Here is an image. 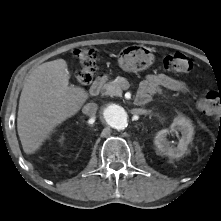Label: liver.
Wrapping results in <instances>:
<instances>
[{"instance_id": "6515ba94", "label": "liver", "mask_w": 221, "mask_h": 221, "mask_svg": "<svg viewBox=\"0 0 221 221\" xmlns=\"http://www.w3.org/2000/svg\"><path fill=\"white\" fill-rule=\"evenodd\" d=\"M66 68L63 59L45 62L24 83L17 130L26 154L38 150L55 127L74 116L88 99L85 89L69 85Z\"/></svg>"}]
</instances>
